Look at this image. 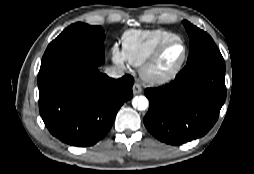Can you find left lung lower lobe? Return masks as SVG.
Returning a JSON list of instances; mask_svg holds the SVG:
<instances>
[{
    "label": "left lung lower lobe",
    "mask_w": 254,
    "mask_h": 174,
    "mask_svg": "<svg viewBox=\"0 0 254 174\" xmlns=\"http://www.w3.org/2000/svg\"><path fill=\"white\" fill-rule=\"evenodd\" d=\"M225 69L200 67L180 71L175 79L144 91L149 99L143 121L147 130L170 145L204 136L218 119L226 99Z\"/></svg>",
    "instance_id": "obj_1"
}]
</instances>
